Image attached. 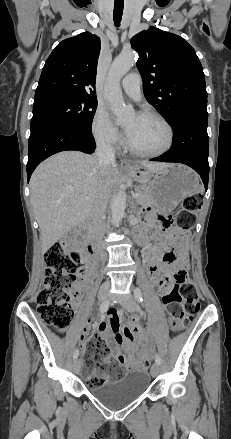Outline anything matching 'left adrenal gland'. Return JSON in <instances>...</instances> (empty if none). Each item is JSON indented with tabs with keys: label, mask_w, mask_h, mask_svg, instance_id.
Returning <instances> with one entry per match:
<instances>
[{
	"label": "left adrenal gland",
	"mask_w": 231,
	"mask_h": 439,
	"mask_svg": "<svg viewBox=\"0 0 231 439\" xmlns=\"http://www.w3.org/2000/svg\"><path fill=\"white\" fill-rule=\"evenodd\" d=\"M131 208H132L133 211L136 209V207H135V205H134V202H132V204H131Z\"/></svg>",
	"instance_id": "1"
}]
</instances>
